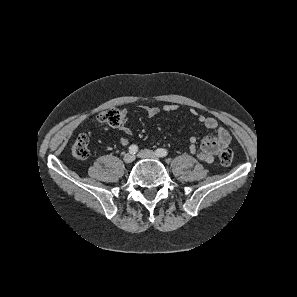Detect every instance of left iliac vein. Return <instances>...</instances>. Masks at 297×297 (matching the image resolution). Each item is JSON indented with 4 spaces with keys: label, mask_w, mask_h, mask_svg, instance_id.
Listing matches in <instances>:
<instances>
[{
    "label": "left iliac vein",
    "mask_w": 297,
    "mask_h": 297,
    "mask_svg": "<svg viewBox=\"0 0 297 297\" xmlns=\"http://www.w3.org/2000/svg\"><path fill=\"white\" fill-rule=\"evenodd\" d=\"M137 156L139 158L159 159V156L154 151L148 149L141 150Z\"/></svg>",
    "instance_id": "obj_1"
}]
</instances>
